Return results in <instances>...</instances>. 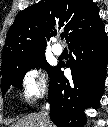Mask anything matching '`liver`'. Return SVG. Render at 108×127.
Instances as JSON below:
<instances>
[{"label":"liver","mask_w":108,"mask_h":127,"mask_svg":"<svg viewBox=\"0 0 108 127\" xmlns=\"http://www.w3.org/2000/svg\"><path fill=\"white\" fill-rule=\"evenodd\" d=\"M11 127H55L41 113H31L18 120Z\"/></svg>","instance_id":"1"}]
</instances>
